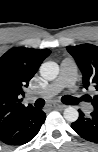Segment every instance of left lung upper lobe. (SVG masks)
<instances>
[{"label": "left lung upper lobe", "mask_w": 98, "mask_h": 152, "mask_svg": "<svg viewBox=\"0 0 98 152\" xmlns=\"http://www.w3.org/2000/svg\"><path fill=\"white\" fill-rule=\"evenodd\" d=\"M67 51L75 59L83 75V86L98 92V47L92 44H81L68 46ZM86 100L91 101L94 110L98 111V94L93 98L87 96Z\"/></svg>", "instance_id": "left-lung-upper-lobe-1"}]
</instances>
